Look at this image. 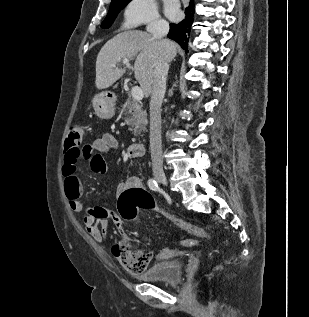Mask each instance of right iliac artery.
I'll list each match as a JSON object with an SVG mask.
<instances>
[{"label": "right iliac artery", "mask_w": 309, "mask_h": 317, "mask_svg": "<svg viewBox=\"0 0 309 317\" xmlns=\"http://www.w3.org/2000/svg\"><path fill=\"white\" fill-rule=\"evenodd\" d=\"M148 186H149V188H150L151 190H153V191H158V190H159L158 184H157V182L155 181V179H153V178H150V179L148 180Z\"/></svg>", "instance_id": "1"}]
</instances>
